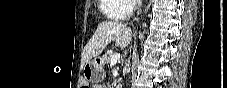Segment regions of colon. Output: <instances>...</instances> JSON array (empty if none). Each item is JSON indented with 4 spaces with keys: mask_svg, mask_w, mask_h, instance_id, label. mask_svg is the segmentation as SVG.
Masks as SVG:
<instances>
[{
    "mask_svg": "<svg viewBox=\"0 0 227 88\" xmlns=\"http://www.w3.org/2000/svg\"><path fill=\"white\" fill-rule=\"evenodd\" d=\"M83 87H84V88H88V85H84Z\"/></svg>",
    "mask_w": 227,
    "mask_h": 88,
    "instance_id": "5ec220e1",
    "label": "colon"
}]
</instances>
